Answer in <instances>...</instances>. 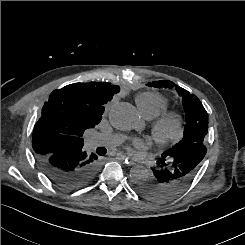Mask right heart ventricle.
I'll list each match as a JSON object with an SVG mask.
<instances>
[{
  "label": "right heart ventricle",
  "mask_w": 245,
  "mask_h": 245,
  "mask_svg": "<svg viewBox=\"0 0 245 245\" xmlns=\"http://www.w3.org/2000/svg\"><path fill=\"white\" fill-rule=\"evenodd\" d=\"M136 104L145 118L154 119L167 108L169 101L160 93L148 91L136 97Z\"/></svg>",
  "instance_id": "e07e8e85"
}]
</instances>
